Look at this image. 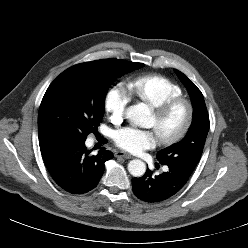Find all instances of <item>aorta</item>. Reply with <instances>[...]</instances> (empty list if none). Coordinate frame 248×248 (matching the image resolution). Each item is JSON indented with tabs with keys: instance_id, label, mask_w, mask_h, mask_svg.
<instances>
[{
	"instance_id": "obj_1",
	"label": "aorta",
	"mask_w": 248,
	"mask_h": 248,
	"mask_svg": "<svg viewBox=\"0 0 248 248\" xmlns=\"http://www.w3.org/2000/svg\"><path fill=\"white\" fill-rule=\"evenodd\" d=\"M127 119L137 126H145L150 118V110L144 103L130 106L126 111ZM128 171L134 177H141L146 172V165L139 159L131 160L128 163Z\"/></svg>"
}]
</instances>
